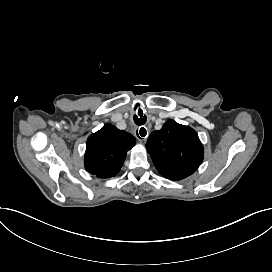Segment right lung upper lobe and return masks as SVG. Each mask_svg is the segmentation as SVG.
<instances>
[{
	"label": "right lung upper lobe",
	"instance_id": "obj_1",
	"mask_svg": "<svg viewBox=\"0 0 272 272\" xmlns=\"http://www.w3.org/2000/svg\"><path fill=\"white\" fill-rule=\"evenodd\" d=\"M135 137L111 124L89 136L85 152V168L99 178L115 176L121 169L127 151L135 145Z\"/></svg>",
	"mask_w": 272,
	"mask_h": 272
}]
</instances>
